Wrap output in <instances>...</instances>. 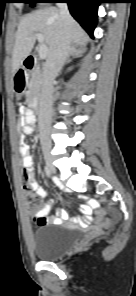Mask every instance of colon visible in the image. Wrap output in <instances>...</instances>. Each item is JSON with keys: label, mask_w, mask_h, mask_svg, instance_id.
<instances>
[{"label": "colon", "mask_w": 136, "mask_h": 296, "mask_svg": "<svg viewBox=\"0 0 136 296\" xmlns=\"http://www.w3.org/2000/svg\"><path fill=\"white\" fill-rule=\"evenodd\" d=\"M24 194H25V204L26 208L31 215L33 221L37 225H43L45 223L44 217H39L38 213L41 210L42 202L39 197L34 193L33 188L29 182H26L23 186Z\"/></svg>", "instance_id": "obj_1"}]
</instances>
